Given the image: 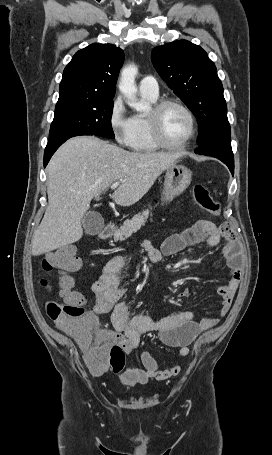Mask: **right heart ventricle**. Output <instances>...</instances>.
I'll use <instances>...</instances> for the list:
<instances>
[{"label": "right heart ventricle", "instance_id": "1", "mask_svg": "<svg viewBox=\"0 0 272 455\" xmlns=\"http://www.w3.org/2000/svg\"><path fill=\"white\" fill-rule=\"evenodd\" d=\"M142 97L150 103H155L158 96L152 97L142 94ZM133 151L141 153H150L158 150L154 143L148 124L147 115H135L132 117V133L128 145Z\"/></svg>", "mask_w": 272, "mask_h": 455}]
</instances>
